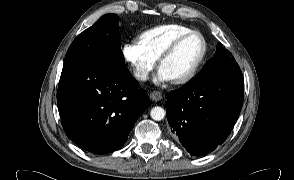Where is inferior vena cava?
Instances as JSON below:
<instances>
[{"label":"inferior vena cava","instance_id":"inferior-vena-cava-1","mask_svg":"<svg viewBox=\"0 0 294 180\" xmlns=\"http://www.w3.org/2000/svg\"><path fill=\"white\" fill-rule=\"evenodd\" d=\"M134 76L141 81H146L148 78V74L145 71H141V70H136L134 72Z\"/></svg>","mask_w":294,"mask_h":180}]
</instances>
